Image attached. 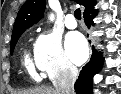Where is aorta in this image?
<instances>
[{"mask_svg": "<svg viewBox=\"0 0 121 94\" xmlns=\"http://www.w3.org/2000/svg\"><path fill=\"white\" fill-rule=\"evenodd\" d=\"M49 19H50V21H53L54 15L53 14H50Z\"/></svg>", "mask_w": 121, "mask_h": 94, "instance_id": "762f6f07", "label": "aorta"}]
</instances>
